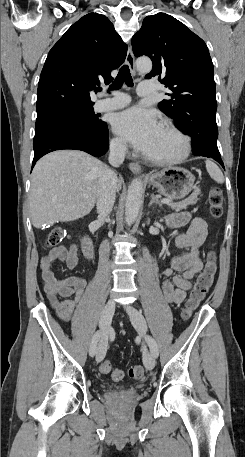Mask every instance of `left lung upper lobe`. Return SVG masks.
I'll return each mask as SVG.
<instances>
[{"mask_svg": "<svg viewBox=\"0 0 245 457\" xmlns=\"http://www.w3.org/2000/svg\"><path fill=\"white\" fill-rule=\"evenodd\" d=\"M136 57L146 55L153 62L145 77L158 80L171 90L159 109L182 126L190 116L216 113L213 63L204 41L183 23L165 13L144 18L131 40Z\"/></svg>", "mask_w": 245, "mask_h": 457, "instance_id": "left-lung-upper-lobe-1", "label": "left lung upper lobe"}]
</instances>
